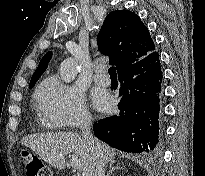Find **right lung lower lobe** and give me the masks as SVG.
Listing matches in <instances>:
<instances>
[{
    "mask_svg": "<svg viewBox=\"0 0 205 176\" xmlns=\"http://www.w3.org/2000/svg\"><path fill=\"white\" fill-rule=\"evenodd\" d=\"M120 113L95 122L94 134L110 146L141 153L159 149L162 72L159 55L151 53L119 74Z\"/></svg>",
    "mask_w": 205,
    "mask_h": 176,
    "instance_id": "right-lung-lower-lobe-1",
    "label": "right lung lower lobe"
}]
</instances>
